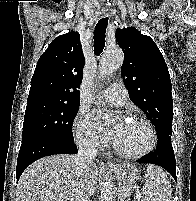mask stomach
I'll use <instances>...</instances> for the list:
<instances>
[{
    "instance_id": "stomach-1",
    "label": "stomach",
    "mask_w": 196,
    "mask_h": 201,
    "mask_svg": "<svg viewBox=\"0 0 196 201\" xmlns=\"http://www.w3.org/2000/svg\"><path fill=\"white\" fill-rule=\"evenodd\" d=\"M122 186L130 187L140 179V172L131 165H118L111 169Z\"/></svg>"
}]
</instances>
